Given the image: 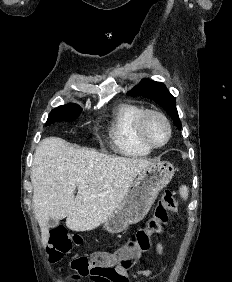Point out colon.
Masks as SVG:
<instances>
[{
	"label": "colon",
	"instance_id": "obj_1",
	"mask_svg": "<svg viewBox=\"0 0 232 282\" xmlns=\"http://www.w3.org/2000/svg\"><path fill=\"white\" fill-rule=\"evenodd\" d=\"M178 203L175 193L166 189L156 208L154 216L149 219L145 227L139 229L134 238L128 240L121 248L113 253L98 251L91 255L78 256L71 260L69 268L73 274L71 281L82 278H101L111 275L115 267L128 270L134 267L143 254L151 251L153 238L162 233L164 226L169 222L171 213L177 212ZM81 242L78 236H72L64 227H56L50 231L47 258L49 262H58L75 245Z\"/></svg>",
	"mask_w": 232,
	"mask_h": 282
}]
</instances>
